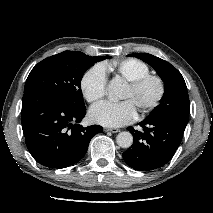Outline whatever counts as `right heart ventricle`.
Segmentation results:
<instances>
[{"mask_svg": "<svg viewBox=\"0 0 213 213\" xmlns=\"http://www.w3.org/2000/svg\"><path fill=\"white\" fill-rule=\"evenodd\" d=\"M105 70H114L117 75L130 82L144 75L149 74L150 69L147 64L138 59H124L113 64L103 66Z\"/></svg>", "mask_w": 213, "mask_h": 213, "instance_id": "right-heart-ventricle-1", "label": "right heart ventricle"}]
</instances>
